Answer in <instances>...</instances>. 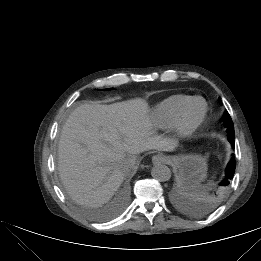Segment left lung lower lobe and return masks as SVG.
<instances>
[{
    "instance_id": "left-lung-lower-lobe-1",
    "label": "left lung lower lobe",
    "mask_w": 261,
    "mask_h": 261,
    "mask_svg": "<svg viewBox=\"0 0 261 261\" xmlns=\"http://www.w3.org/2000/svg\"><path fill=\"white\" fill-rule=\"evenodd\" d=\"M232 145V147L234 146V141H229ZM235 168H236V161H235V157H232L231 161L228 163L227 167H226V171H225V175L227 177V179L229 181H231V179L234 176V172H235Z\"/></svg>"
}]
</instances>
